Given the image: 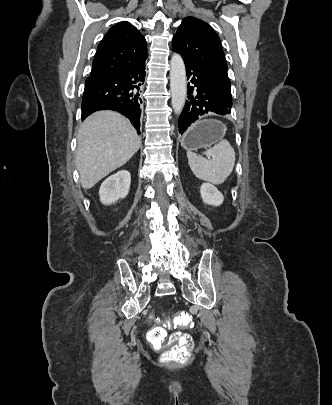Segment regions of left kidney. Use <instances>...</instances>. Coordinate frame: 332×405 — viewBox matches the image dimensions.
Returning a JSON list of instances; mask_svg holds the SVG:
<instances>
[{
  "label": "left kidney",
  "mask_w": 332,
  "mask_h": 405,
  "mask_svg": "<svg viewBox=\"0 0 332 405\" xmlns=\"http://www.w3.org/2000/svg\"><path fill=\"white\" fill-rule=\"evenodd\" d=\"M201 197L203 202L212 205V206H219L223 203L224 197L217 190V188L211 184L204 183L200 187Z\"/></svg>",
  "instance_id": "left-kidney-1"
}]
</instances>
